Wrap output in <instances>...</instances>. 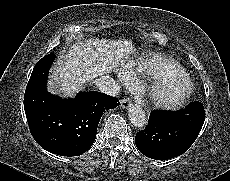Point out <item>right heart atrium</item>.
Instances as JSON below:
<instances>
[{
    "mask_svg": "<svg viewBox=\"0 0 230 181\" xmlns=\"http://www.w3.org/2000/svg\"><path fill=\"white\" fill-rule=\"evenodd\" d=\"M125 78H127L124 74H123V76H120V79L121 80H123V79H125ZM129 79V78H128Z\"/></svg>",
    "mask_w": 230,
    "mask_h": 181,
    "instance_id": "1",
    "label": "right heart atrium"
}]
</instances>
